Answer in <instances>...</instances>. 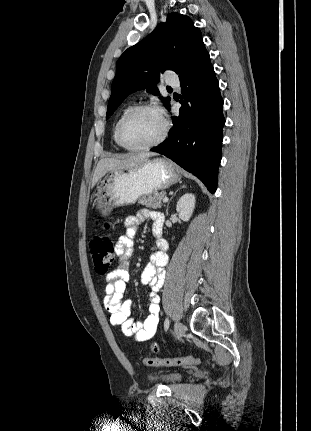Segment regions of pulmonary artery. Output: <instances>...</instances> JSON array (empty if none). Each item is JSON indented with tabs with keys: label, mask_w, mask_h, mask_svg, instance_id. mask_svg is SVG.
Returning <instances> with one entry per match:
<instances>
[{
	"label": "pulmonary artery",
	"mask_w": 311,
	"mask_h": 431,
	"mask_svg": "<svg viewBox=\"0 0 311 431\" xmlns=\"http://www.w3.org/2000/svg\"><path fill=\"white\" fill-rule=\"evenodd\" d=\"M166 83L175 87L179 86V82L178 81H171V80H166Z\"/></svg>",
	"instance_id": "1"
}]
</instances>
